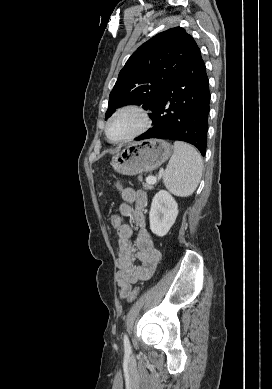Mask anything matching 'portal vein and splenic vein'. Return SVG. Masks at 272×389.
I'll list each match as a JSON object with an SVG mask.
<instances>
[{
  "instance_id": "portal-vein-and-splenic-vein-1",
  "label": "portal vein and splenic vein",
  "mask_w": 272,
  "mask_h": 389,
  "mask_svg": "<svg viewBox=\"0 0 272 389\" xmlns=\"http://www.w3.org/2000/svg\"><path fill=\"white\" fill-rule=\"evenodd\" d=\"M147 181H148L149 183L155 184L156 181H157V178H156V177H149V178L147 179Z\"/></svg>"
}]
</instances>
